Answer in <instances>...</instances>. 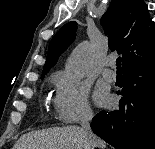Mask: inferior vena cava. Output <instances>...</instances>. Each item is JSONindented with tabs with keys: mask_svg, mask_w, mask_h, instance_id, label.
I'll return each mask as SVG.
<instances>
[{
	"mask_svg": "<svg viewBox=\"0 0 155 149\" xmlns=\"http://www.w3.org/2000/svg\"><path fill=\"white\" fill-rule=\"evenodd\" d=\"M92 118H93V114L90 112L84 113L81 118V127L87 135L89 149H95L97 147V139L92 133L91 127H90V121L92 120Z\"/></svg>",
	"mask_w": 155,
	"mask_h": 149,
	"instance_id": "1",
	"label": "inferior vena cava"
}]
</instances>
